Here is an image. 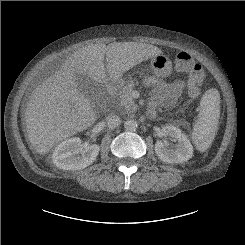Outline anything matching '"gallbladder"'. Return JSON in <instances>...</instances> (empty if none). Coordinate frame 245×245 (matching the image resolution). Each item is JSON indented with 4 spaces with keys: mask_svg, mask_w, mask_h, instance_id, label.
I'll use <instances>...</instances> for the list:
<instances>
[{
    "mask_svg": "<svg viewBox=\"0 0 245 245\" xmlns=\"http://www.w3.org/2000/svg\"><path fill=\"white\" fill-rule=\"evenodd\" d=\"M77 83L79 90L86 96H89L91 91L95 89V83L86 75H77Z\"/></svg>",
    "mask_w": 245,
    "mask_h": 245,
    "instance_id": "obj_1",
    "label": "gallbladder"
}]
</instances>
